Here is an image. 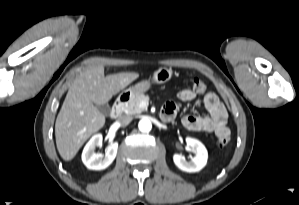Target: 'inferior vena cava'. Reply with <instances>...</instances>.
<instances>
[{
	"instance_id": "obj_1",
	"label": "inferior vena cava",
	"mask_w": 299,
	"mask_h": 205,
	"mask_svg": "<svg viewBox=\"0 0 299 205\" xmlns=\"http://www.w3.org/2000/svg\"><path fill=\"white\" fill-rule=\"evenodd\" d=\"M132 118L130 116L127 115H122L118 118V122L120 125L122 126H126L131 122Z\"/></svg>"
}]
</instances>
